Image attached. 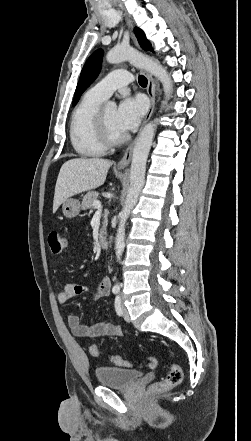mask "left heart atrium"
<instances>
[{
	"instance_id": "left-heart-atrium-1",
	"label": "left heart atrium",
	"mask_w": 251,
	"mask_h": 441,
	"mask_svg": "<svg viewBox=\"0 0 251 441\" xmlns=\"http://www.w3.org/2000/svg\"><path fill=\"white\" fill-rule=\"evenodd\" d=\"M145 111L140 98L126 97L116 110V125L123 133L134 130L140 123Z\"/></svg>"
}]
</instances>
